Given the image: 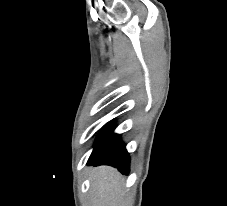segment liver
<instances>
[{
	"instance_id": "liver-1",
	"label": "liver",
	"mask_w": 227,
	"mask_h": 206,
	"mask_svg": "<svg viewBox=\"0 0 227 206\" xmlns=\"http://www.w3.org/2000/svg\"><path fill=\"white\" fill-rule=\"evenodd\" d=\"M94 206H120L123 195L120 174L109 166L95 168L91 177Z\"/></svg>"
}]
</instances>
